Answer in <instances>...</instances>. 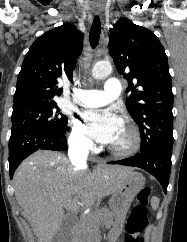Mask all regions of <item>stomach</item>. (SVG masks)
<instances>
[{
    "label": "stomach",
    "instance_id": "stomach-1",
    "mask_svg": "<svg viewBox=\"0 0 187 242\" xmlns=\"http://www.w3.org/2000/svg\"><path fill=\"white\" fill-rule=\"evenodd\" d=\"M145 184V178L139 172L130 170L121 188L110 199V231L108 239L114 242L122 232L127 212L135 195Z\"/></svg>",
    "mask_w": 187,
    "mask_h": 242
}]
</instances>
